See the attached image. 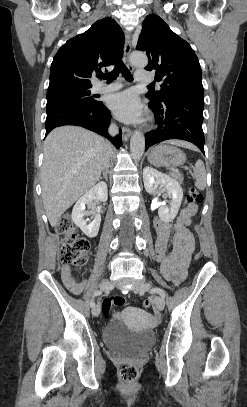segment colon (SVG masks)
I'll use <instances>...</instances> for the list:
<instances>
[{"label":"colon","mask_w":247,"mask_h":407,"mask_svg":"<svg viewBox=\"0 0 247 407\" xmlns=\"http://www.w3.org/2000/svg\"><path fill=\"white\" fill-rule=\"evenodd\" d=\"M187 200L192 205H199L203 202V195L196 188H190ZM56 232L62 238V247L60 251V261L63 265L84 266L90 260L89 243L85 238L79 235L68 216L62 217L55 227ZM174 286L181 283L180 277L172 279ZM125 304V297L114 295L106 298L103 302L102 312L104 317H109L112 307H120ZM144 307H150L149 300L144 301ZM121 377L126 382H133L138 378L139 370L133 364H123L121 366Z\"/></svg>","instance_id":"5ec220e1"}]
</instances>
